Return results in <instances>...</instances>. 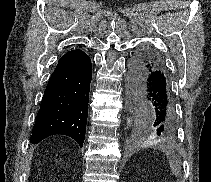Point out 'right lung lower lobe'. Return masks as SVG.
<instances>
[{"label":"right lung lower lobe","mask_w":211,"mask_h":182,"mask_svg":"<svg viewBox=\"0 0 211 182\" xmlns=\"http://www.w3.org/2000/svg\"><path fill=\"white\" fill-rule=\"evenodd\" d=\"M91 79V60L83 51H69L60 58L45 89L31 143L63 134L83 146Z\"/></svg>","instance_id":"obj_1"}]
</instances>
